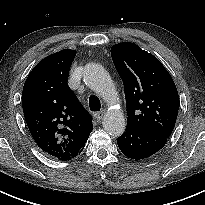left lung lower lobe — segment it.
<instances>
[{
  "instance_id": "1",
  "label": "left lung lower lobe",
  "mask_w": 205,
  "mask_h": 205,
  "mask_svg": "<svg viewBox=\"0 0 205 205\" xmlns=\"http://www.w3.org/2000/svg\"><path fill=\"white\" fill-rule=\"evenodd\" d=\"M168 138L127 126L125 132L117 138L120 150L131 159L140 160L158 152Z\"/></svg>"
}]
</instances>
